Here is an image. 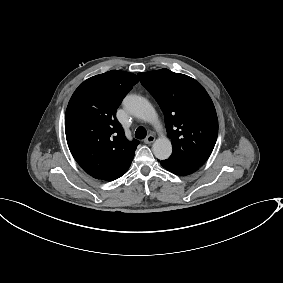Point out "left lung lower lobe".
Masks as SVG:
<instances>
[{
	"instance_id": "left-lung-lower-lobe-1",
	"label": "left lung lower lobe",
	"mask_w": 283,
	"mask_h": 283,
	"mask_svg": "<svg viewBox=\"0 0 283 283\" xmlns=\"http://www.w3.org/2000/svg\"><path fill=\"white\" fill-rule=\"evenodd\" d=\"M160 164L165 169L176 175H189L197 171L199 168V166L171 158L161 161Z\"/></svg>"
}]
</instances>
